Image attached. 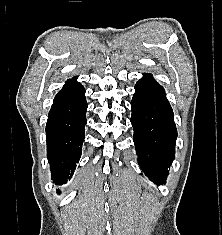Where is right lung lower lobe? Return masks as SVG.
I'll use <instances>...</instances> for the list:
<instances>
[{
	"mask_svg": "<svg viewBox=\"0 0 222 235\" xmlns=\"http://www.w3.org/2000/svg\"><path fill=\"white\" fill-rule=\"evenodd\" d=\"M76 79L68 80L55 96L46 124L47 157L52 180L59 185L73 175L85 137V89Z\"/></svg>",
	"mask_w": 222,
	"mask_h": 235,
	"instance_id": "right-lung-lower-lobe-1",
	"label": "right lung lower lobe"
}]
</instances>
